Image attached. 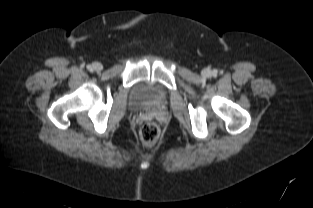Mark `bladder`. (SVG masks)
Returning a JSON list of instances; mask_svg holds the SVG:
<instances>
[{"label": "bladder", "mask_w": 313, "mask_h": 208, "mask_svg": "<svg viewBox=\"0 0 313 208\" xmlns=\"http://www.w3.org/2000/svg\"><path fill=\"white\" fill-rule=\"evenodd\" d=\"M165 98L164 89L153 83H137L131 91L130 104L134 108H143L148 105L158 104Z\"/></svg>", "instance_id": "obj_1"}]
</instances>
